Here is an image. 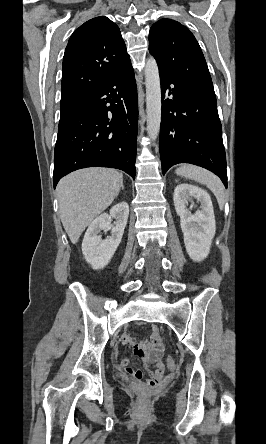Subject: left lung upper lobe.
<instances>
[{
	"mask_svg": "<svg viewBox=\"0 0 266 444\" xmlns=\"http://www.w3.org/2000/svg\"><path fill=\"white\" fill-rule=\"evenodd\" d=\"M149 52L160 69L176 78L212 82L197 40L186 26L175 20L165 18L153 24Z\"/></svg>",
	"mask_w": 266,
	"mask_h": 444,
	"instance_id": "5c2ea615",
	"label": "left lung upper lobe"
}]
</instances>
